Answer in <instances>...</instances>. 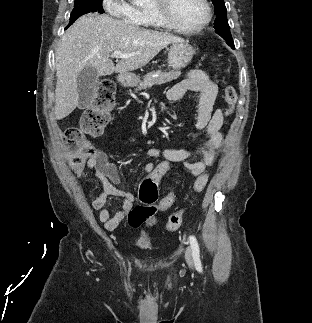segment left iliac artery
I'll list each match as a JSON object with an SVG mask.
<instances>
[{"instance_id": "left-iliac-artery-1", "label": "left iliac artery", "mask_w": 312, "mask_h": 323, "mask_svg": "<svg viewBox=\"0 0 312 323\" xmlns=\"http://www.w3.org/2000/svg\"><path fill=\"white\" fill-rule=\"evenodd\" d=\"M191 248H192V254L195 260V264L197 267H200L201 269V262H200V250H199V244L198 241L194 236L189 237Z\"/></svg>"}]
</instances>
